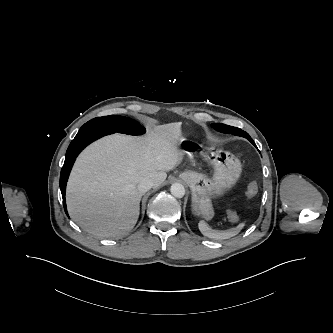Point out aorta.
Returning <instances> with one entry per match:
<instances>
[{
    "instance_id": "aorta-1",
    "label": "aorta",
    "mask_w": 333,
    "mask_h": 333,
    "mask_svg": "<svg viewBox=\"0 0 333 333\" xmlns=\"http://www.w3.org/2000/svg\"><path fill=\"white\" fill-rule=\"evenodd\" d=\"M171 194L176 198H182L185 195V188L180 183H174L170 188Z\"/></svg>"
}]
</instances>
